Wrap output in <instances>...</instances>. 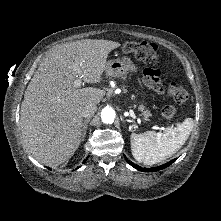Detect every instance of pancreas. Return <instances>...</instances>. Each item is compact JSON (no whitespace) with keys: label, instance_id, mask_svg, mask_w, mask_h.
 I'll return each instance as SVG.
<instances>
[{"label":"pancreas","instance_id":"cf45deb5","mask_svg":"<svg viewBox=\"0 0 221 221\" xmlns=\"http://www.w3.org/2000/svg\"><path fill=\"white\" fill-rule=\"evenodd\" d=\"M139 110L142 112L145 119H148L151 116L150 111L146 110L145 106L140 105Z\"/></svg>","mask_w":221,"mask_h":221}]
</instances>
